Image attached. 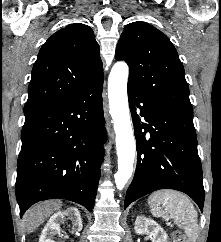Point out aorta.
Here are the masks:
<instances>
[{"instance_id":"aorta-1","label":"aorta","mask_w":221,"mask_h":242,"mask_svg":"<svg viewBox=\"0 0 221 242\" xmlns=\"http://www.w3.org/2000/svg\"><path fill=\"white\" fill-rule=\"evenodd\" d=\"M128 75V65L120 61L113 65L108 78V98L118 155V171L115 174L118 189H123L132 176L136 152L127 97Z\"/></svg>"}]
</instances>
